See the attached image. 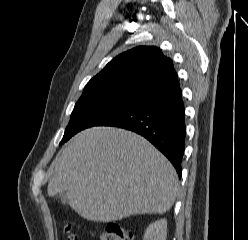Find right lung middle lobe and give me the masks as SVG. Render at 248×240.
<instances>
[{
  "instance_id": "1",
  "label": "right lung middle lobe",
  "mask_w": 248,
  "mask_h": 240,
  "mask_svg": "<svg viewBox=\"0 0 248 240\" xmlns=\"http://www.w3.org/2000/svg\"><path fill=\"white\" fill-rule=\"evenodd\" d=\"M139 100L109 89L84 90L71 114L70 122L60 144L77 132L94 126L101 119Z\"/></svg>"
}]
</instances>
